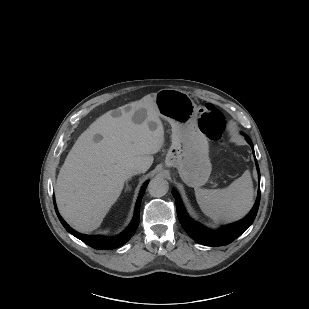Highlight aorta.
Segmentation results:
<instances>
[{
    "instance_id": "obj_1",
    "label": "aorta",
    "mask_w": 309,
    "mask_h": 309,
    "mask_svg": "<svg viewBox=\"0 0 309 309\" xmlns=\"http://www.w3.org/2000/svg\"><path fill=\"white\" fill-rule=\"evenodd\" d=\"M168 182L162 177H154L148 185V191L153 197H162L168 192Z\"/></svg>"
}]
</instances>
